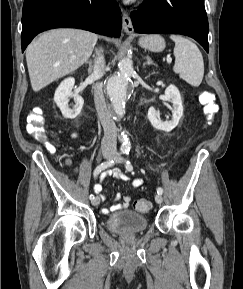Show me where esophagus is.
Masks as SVG:
<instances>
[{
	"label": "esophagus",
	"mask_w": 243,
	"mask_h": 289,
	"mask_svg": "<svg viewBox=\"0 0 243 289\" xmlns=\"http://www.w3.org/2000/svg\"><path fill=\"white\" fill-rule=\"evenodd\" d=\"M122 26H123V30L127 34H132L134 32L132 21L128 15V13L123 9H122Z\"/></svg>",
	"instance_id": "esophagus-1"
}]
</instances>
